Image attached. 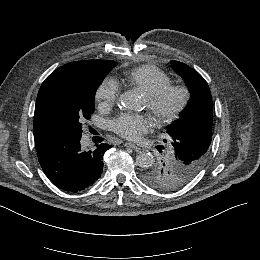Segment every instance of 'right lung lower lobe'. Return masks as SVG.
Listing matches in <instances>:
<instances>
[{
    "mask_svg": "<svg viewBox=\"0 0 260 260\" xmlns=\"http://www.w3.org/2000/svg\"><path fill=\"white\" fill-rule=\"evenodd\" d=\"M80 138L53 140L37 152L40 165L58 188L76 193L92 186L103 171V156L110 146L97 145L95 150L81 148Z\"/></svg>",
    "mask_w": 260,
    "mask_h": 260,
    "instance_id": "obj_1",
    "label": "right lung lower lobe"
}]
</instances>
